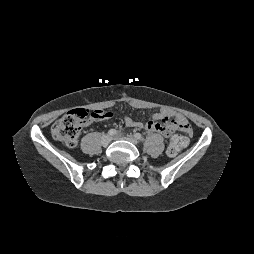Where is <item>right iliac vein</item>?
Segmentation results:
<instances>
[{"label":"right iliac vein","instance_id":"obj_1","mask_svg":"<svg viewBox=\"0 0 254 254\" xmlns=\"http://www.w3.org/2000/svg\"><path fill=\"white\" fill-rule=\"evenodd\" d=\"M112 140V137L110 135H104L102 137V145L107 146Z\"/></svg>","mask_w":254,"mask_h":254}]
</instances>
